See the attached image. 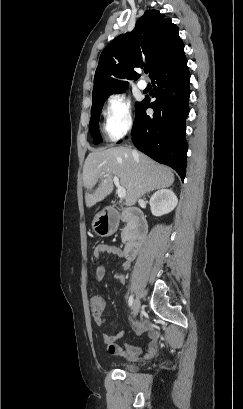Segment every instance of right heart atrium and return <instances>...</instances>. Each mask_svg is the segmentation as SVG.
<instances>
[{
  "mask_svg": "<svg viewBox=\"0 0 243 409\" xmlns=\"http://www.w3.org/2000/svg\"><path fill=\"white\" fill-rule=\"evenodd\" d=\"M103 114L105 133L112 140L120 139L133 126L131 101L124 94H111L106 101Z\"/></svg>",
  "mask_w": 243,
  "mask_h": 409,
  "instance_id": "right-heart-atrium-1",
  "label": "right heart atrium"
}]
</instances>
